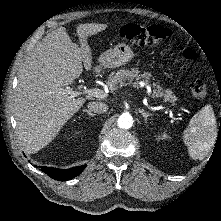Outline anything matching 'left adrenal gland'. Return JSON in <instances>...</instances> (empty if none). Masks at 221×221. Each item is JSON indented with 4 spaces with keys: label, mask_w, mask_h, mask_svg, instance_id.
<instances>
[{
    "label": "left adrenal gland",
    "mask_w": 221,
    "mask_h": 221,
    "mask_svg": "<svg viewBox=\"0 0 221 221\" xmlns=\"http://www.w3.org/2000/svg\"><path fill=\"white\" fill-rule=\"evenodd\" d=\"M139 112L142 114L144 117L145 123H147L148 117H151L153 114L146 112L144 109H139Z\"/></svg>",
    "instance_id": "1"
}]
</instances>
